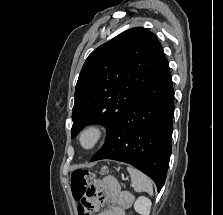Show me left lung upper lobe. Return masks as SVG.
Segmentation results:
<instances>
[{"mask_svg": "<svg viewBox=\"0 0 223 215\" xmlns=\"http://www.w3.org/2000/svg\"><path fill=\"white\" fill-rule=\"evenodd\" d=\"M165 60L156 36L142 27L129 29L95 49L76 84L71 137L86 125L99 123L107 128V140Z\"/></svg>", "mask_w": 223, "mask_h": 215, "instance_id": "left-lung-upper-lobe-1", "label": "left lung upper lobe"}]
</instances>
